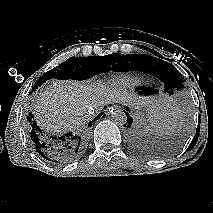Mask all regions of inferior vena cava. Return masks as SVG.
Instances as JSON below:
<instances>
[{"mask_svg":"<svg viewBox=\"0 0 213 213\" xmlns=\"http://www.w3.org/2000/svg\"><path fill=\"white\" fill-rule=\"evenodd\" d=\"M94 114V108L93 107H90L88 109V115H87V118L90 119Z\"/></svg>","mask_w":213,"mask_h":213,"instance_id":"inferior-vena-cava-1","label":"inferior vena cava"}]
</instances>
